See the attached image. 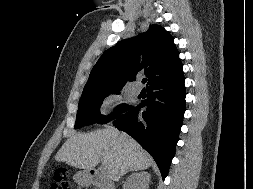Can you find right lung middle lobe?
Segmentation results:
<instances>
[{
  "instance_id": "right-lung-middle-lobe-1",
  "label": "right lung middle lobe",
  "mask_w": 253,
  "mask_h": 189,
  "mask_svg": "<svg viewBox=\"0 0 253 189\" xmlns=\"http://www.w3.org/2000/svg\"><path fill=\"white\" fill-rule=\"evenodd\" d=\"M122 87H102L93 90L83 91L79 101V108L77 112L75 129L94 123H107L111 117H105L100 114V106L106 96L110 93L119 94ZM132 106L121 104L116 107L115 114L128 111ZM114 115V114H113Z\"/></svg>"
}]
</instances>
